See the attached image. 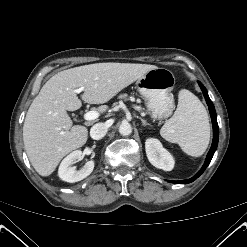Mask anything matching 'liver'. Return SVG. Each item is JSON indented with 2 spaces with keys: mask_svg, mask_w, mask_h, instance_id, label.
I'll return each instance as SVG.
<instances>
[{
  "mask_svg": "<svg viewBox=\"0 0 247 247\" xmlns=\"http://www.w3.org/2000/svg\"><path fill=\"white\" fill-rule=\"evenodd\" d=\"M155 68L148 64L96 63L52 76L31 103L23 126L25 150L37 173L49 176L65 155L87 141V128L73 126L67 114L82 106L74 92L76 88H83L85 103L104 104ZM107 109L103 105L98 111L103 113Z\"/></svg>",
  "mask_w": 247,
  "mask_h": 247,
  "instance_id": "6515ba94",
  "label": "liver"
}]
</instances>
